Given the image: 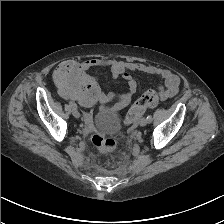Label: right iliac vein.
<instances>
[{"label": "right iliac vein", "mask_w": 224, "mask_h": 224, "mask_svg": "<svg viewBox=\"0 0 224 224\" xmlns=\"http://www.w3.org/2000/svg\"><path fill=\"white\" fill-rule=\"evenodd\" d=\"M72 114L75 118H79L80 117V113L77 109H72Z\"/></svg>", "instance_id": "63e3f726"}]
</instances>
